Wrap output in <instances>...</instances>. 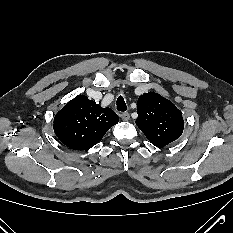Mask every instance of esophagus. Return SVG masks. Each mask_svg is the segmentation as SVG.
<instances>
[{
  "instance_id": "34e87169",
  "label": "esophagus",
  "mask_w": 233,
  "mask_h": 233,
  "mask_svg": "<svg viewBox=\"0 0 233 233\" xmlns=\"http://www.w3.org/2000/svg\"><path fill=\"white\" fill-rule=\"evenodd\" d=\"M120 117L124 120V121H128L130 119V115L128 112H123L120 114Z\"/></svg>"
}]
</instances>
